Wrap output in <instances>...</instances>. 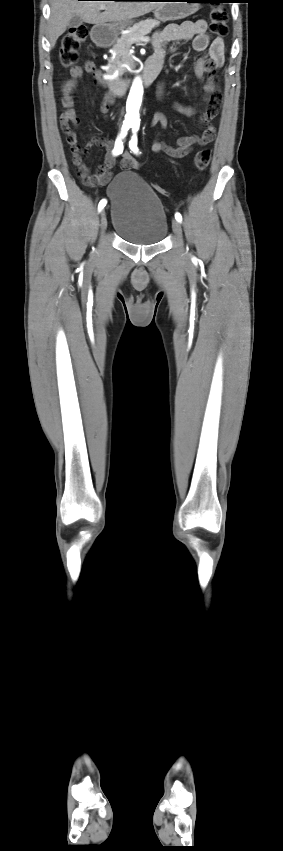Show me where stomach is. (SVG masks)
<instances>
[{
    "mask_svg": "<svg viewBox=\"0 0 283 851\" xmlns=\"http://www.w3.org/2000/svg\"><path fill=\"white\" fill-rule=\"evenodd\" d=\"M178 1L181 2L163 3L160 7L155 9V18L160 21H174L184 19L194 14L199 9V4L197 3V0ZM128 25L129 22L113 25H96L93 28V38L104 43L112 44L117 39L119 30L125 28Z\"/></svg>",
    "mask_w": 283,
    "mask_h": 851,
    "instance_id": "0dacf381",
    "label": "stomach"
}]
</instances>
